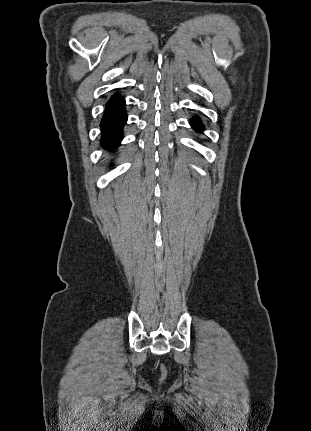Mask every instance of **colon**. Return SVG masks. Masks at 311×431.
Wrapping results in <instances>:
<instances>
[{
    "label": "colon",
    "mask_w": 311,
    "mask_h": 431,
    "mask_svg": "<svg viewBox=\"0 0 311 431\" xmlns=\"http://www.w3.org/2000/svg\"><path fill=\"white\" fill-rule=\"evenodd\" d=\"M161 369H162V371H164V367L163 366H161Z\"/></svg>",
    "instance_id": "colon-1"
}]
</instances>
